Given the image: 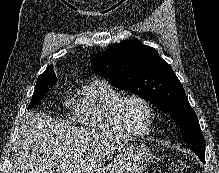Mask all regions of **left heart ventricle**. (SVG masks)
I'll list each match as a JSON object with an SVG mask.
<instances>
[{
	"label": "left heart ventricle",
	"mask_w": 219,
	"mask_h": 173,
	"mask_svg": "<svg viewBox=\"0 0 219 173\" xmlns=\"http://www.w3.org/2000/svg\"><path fill=\"white\" fill-rule=\"evenodd\" d=\"M123 116L126 123L135 130H146L149 121V113L146 107L139 101H127L124 105Z\"/></svg>",
	"instance_id": "1"
}]
</instances>
